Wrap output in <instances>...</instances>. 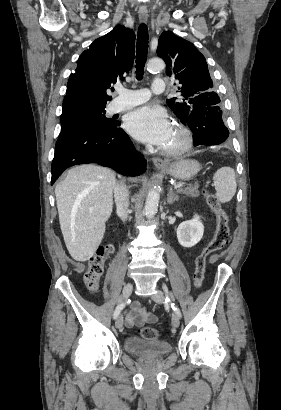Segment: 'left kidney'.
I'll list each match as a JSON object with an SVG mask.
<instances>
[{
  "label": "left kidney",
  "instance_id": "1",
  "mask_svg": "<svg viewBox=\"0 0 281 410\" xmlns=\"http://www.w3.org/2000/svg\"><path fill=\"white\" fill-rule=\"evenodd\" d=\"M204 226L198 215L191 220L182 222L177 228V238L181 246L191 248L203 237Z\"/></svg>",
  "mask_w": 281,
  "mask_h": 410
}]
</instances>
